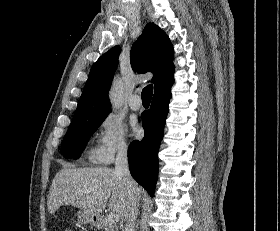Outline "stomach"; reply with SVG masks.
I'll list each match as a JSON object with an SVG mask.
<instances>
[{
    "instance_id": "stomach-1",
    "label": "stomach",
    "mask_w": 280,
    "mask_h": 231,
    "mask_svg": "<svg viewBox=\"0 0 280 231\" xmlns=\"http://www.w3.org/2000/svg\"><path fill=\"white\" fill-rule=\"evenodd\" d=\"M79 223L86 225V223H91V225H100L99 217H91L90 213H87L85 209H80L77 213Z\"/></svg>"
}]
</instances>
